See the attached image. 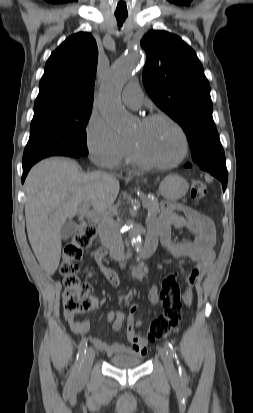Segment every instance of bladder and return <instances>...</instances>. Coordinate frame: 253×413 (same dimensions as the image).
Segmentation results:
<instances>
[{
	"mask_svg": "<svg viewBox=\"0 0 253 413\" xmlns=\"http://www.w3.org/2000/svg\"><path fill=\"white\" fill-rule=\"evenodd\" d=\"M109 362L116 368L128 369L139 366L142 363V358L139 356L117 355L111 357Z\"/></svg>",
	"mask_w": 253,
	"mask_h": 413,
	"instance_id": "1",
	"label": "bladder"
}]
</instances>
